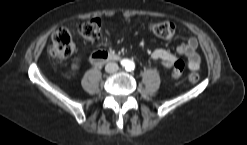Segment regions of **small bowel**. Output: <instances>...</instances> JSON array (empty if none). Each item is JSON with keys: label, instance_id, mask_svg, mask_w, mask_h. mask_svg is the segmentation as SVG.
<instances>
[{"label": "small bowel", "instance_id": "1", "mask_svg": "<svg viewBox=\"0 0 247 145\" xmlns=\"http://www.w3.org/2000/svg\"><path fill=\"white\" fill-rule=\"evenodd\" d=\"M109 43L106 42L105 46ZM198 42L197 39L191 37L186 43L179 45L176 49L179 55H184L187 58V66L192 72L198 71L200 67V56L197 52ZM151 57L153 60H159L165 67H172L177 60V56L168 50L156 49L152 52Z\"/></svg>", "mask_w": 247, "mask_h": 145}]
</instances>
